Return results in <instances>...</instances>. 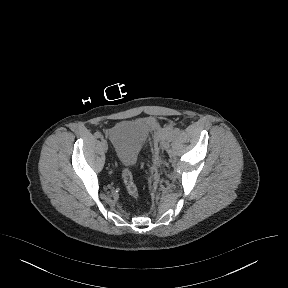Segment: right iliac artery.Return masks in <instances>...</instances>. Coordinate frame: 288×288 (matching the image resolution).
Instances as JSON below:
<instances>
[{"label": "right iliac artery", "mask_w": 288, "mask_h": 288, "mask_svg": "<svg viewBox=\"0 0 288 288\" xmlns=\"http://www.w3.org/2000/svg\"><path fill=\"white\" fill-rule=\"evenodd\" d=\"M94 135H95L96 138H102V135H101L100 132H96Z\"/></svg>", "instance_id": "1"}]
</instances>
